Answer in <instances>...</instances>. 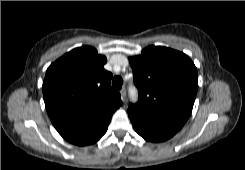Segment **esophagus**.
<instances>
[{
	"label": "esophagus",
	"mask_w": 245,
	"mask_h": 170,
	"mask_svg": "<svg viewBox=\"0 0 245 170\" xmlns=\"http://www.w3.org/2000/svg\"><path fill=\"white\" fill-rule=\"evenodd\" d=\"M120 95H121L122 101L124 102L125 97H126V89H125V88H122V89L120 90Z\"/></svg>",
	"instance_id": "34e87169"
}]
</instances>
